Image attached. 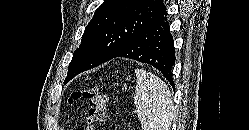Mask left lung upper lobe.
Returning <instances> with one entry per match:
<instances>
[{"label": "left lung upper lobe", "instance_id": "left-lung-upper-lobe-1", "mask_svg": "<svg viewBox=\"0 0 249 130\" xmlns=\"http://www.w3.org/2000/svg\"><path fill=\"white\" fill-rule=\"evenodd\" d=\"M165 12L162 0H105L85 28L64 84L112 59L137 33Z\"/></svg>", "mask_w": 249, "mask_h": 130}]
</instances>
